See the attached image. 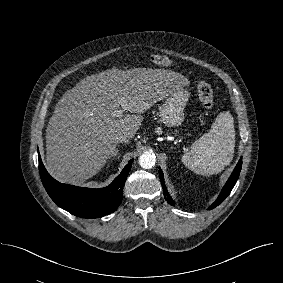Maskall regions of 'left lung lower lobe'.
Wrapping results in <instances>:
<instances>
[{
  "label": "left lung lower lobe",
  "mask_w": 283,
  "mask_h": 283,
  "mask_svg": "<svg viewBox=\"0 0 283 283\" xmlns=\"http://www.w3.org/2000/svg\"><path fill=\"white\" fill-rule=\"evenodd\" d=\"M241 167H242V160L240 159L238 164L236 165L234 171L232 172L231 176L229 177L227 183L223 187V189H222L220 195L218 196L217 200L209 207V209H213V208L217 207L230 194L232 188L236 184V181H237V179L239 177V174H240V171H241ZM159 177H160V181L162 183L163 192H164V195L166 197L167 202L170 205H174V201L172 200L171 196L169 195V193L167 191V188H166V186L164 184V176H163V172H162V170L160 168H159Z\"/></svg>",
  "instance_id": "left-lung-lower-lobe-1"
}]
</instances>
